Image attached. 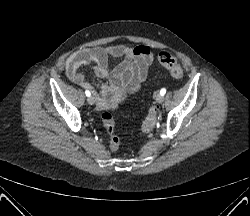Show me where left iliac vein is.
<instances>
[{"instance_id":"obj_1","label":"left iliac vein","mask_w":250,"mask_h":216,"mask_svg":"<svg viewBox=\"0 0 250 216\" xmlns=\"http://www.w3.org/2000/svg\"><path fill=\"white\" fill-rule=\"evenodd\" d=\"M156 101H157L158 103H162V102L164 101V96L161 95V94H157V95H156Z\"/></svg>"}]
</instances>
